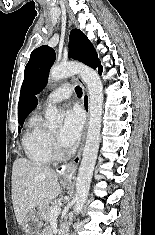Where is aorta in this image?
Segmentation results:
<instances>
[{"instance_id":"aorta-1","label":"aorta","mask_w":155,"mask_h":235,"mask_svg":"<svg viewBox=\"0 0 155 235\" xmlns=\"http://www.w3.org/2000/svg\"><path fill=\"white\" fill-rule=\"evenodd\" d=\"M75 74L80 76L88 88L90 110L86 144L75 182L74 214L77 215L81 212L89 194L100 143L104 97L103 85L98 73L84 64L71 62L54 65L50 70L49 78L51 81H59ZM45 118L51 125H59L63 120L55 106L47 109Z\"/></svg>"}]
</instances>
